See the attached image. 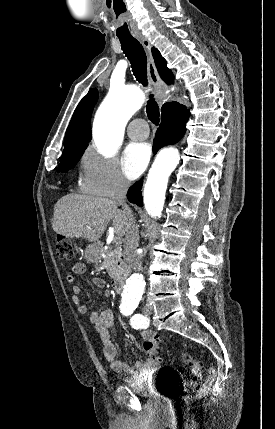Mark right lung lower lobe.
<instances>
[{
    "label": "right lung lower lobe",
    "instance_id": "obj_1",
    "mask_svg": "<svg viewBox=\"0 0 275 429\" xmlns=\"http://www.w3.org/2000/svg\"><path fill=\"white\" fill-rule=\"evenodd\" d=\"M190 116L189 110L184 105L174 103L161 117L162 122L156 132L153 151L156 153L160 148L178 142L185 134V124ZM143 179L130 187L127 198L130 202L143 206L141 188Z\"/></svg>",
    "mask_w": 275,
    "mask_h": 429
}]
</instances>
